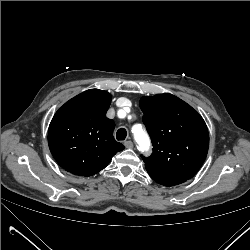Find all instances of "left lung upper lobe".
Listing matches in <instances>:
<instances>
[{"instance_id": "5c2ea615", "label": "left lung upper lobe", "mask_w": 250, "mask_h": 250, "mask_svg": "<svg viewBox=\"0 0 250 250\" xmlns=\"http://www.w3.org/2000/svg\"><path fill=\"white\" fill-rule=\"evenodd\" d=\"M140 108L154 147L150 157L142 156L150 177L183 182L192 178L209 147L207 126L201 115L169 93L142 97Z\"/></svg>"}]
</instances>
